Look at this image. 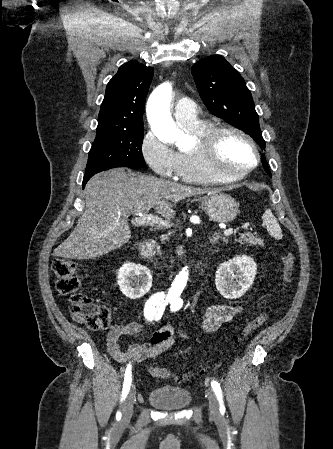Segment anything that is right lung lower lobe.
<instances>
[{
	"label": "right lung lower lobe",
	"mask_w": 333,
	"mask_h": 449,
	"mask_svg": "<svg viewBox=\"0 0 333 449\" xmlns=\"http://www.w3.org/2000/svg\"><path fill=\"white\" fill-rule=\"evenodd\" d=\"M92 176H93V174H85V175H84L83 184H82L83 188H84L85 184L87 183V181H88Z\"/></svg>",
	"instance_id": "98d812e1"
}]
</instances>
